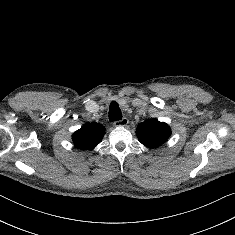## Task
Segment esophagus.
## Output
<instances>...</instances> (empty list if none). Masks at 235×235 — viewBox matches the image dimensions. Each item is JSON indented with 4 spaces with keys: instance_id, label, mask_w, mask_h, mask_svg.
Segmentation results:
<instances>
[{
    "instance_id": "1",
    "label": "esophagus",
    "mask_w": 235,
    "mask_h": 235,
    "mask_svg": "<svg viewBox=\"0 0 235 235\" xmlns=\"http://www.w3.org/2000/svg\"><path fill=\"white\" fill-rule=\"evenodd\" d=\"M128 122H129L128 119L126 117H124L121 120L115 121L114 126H116V127L127 126Z\"/></svg>"
}]
</instances>
